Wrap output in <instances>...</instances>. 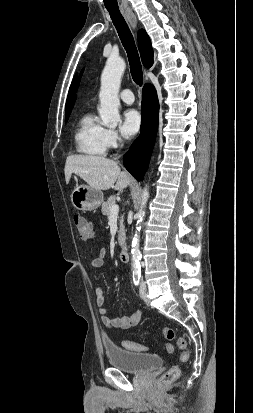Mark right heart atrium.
<instances>
[{
	"instance_id": "1",
	"label": "right heart atrium",
	"mask_w": 253,
	"mask_h": 413,
	"mask_svg": "<svg viewBox=\"0 0 253 413\" xmlns=\"http://www.w3.org/2000/svg\"><path fill=\"white\" fill-rule=\"evenodd\" d=\"M105 144L109 149L116 148L120 144L118 133L113 129H105Z\"/></svg>"
}]
</instances>
